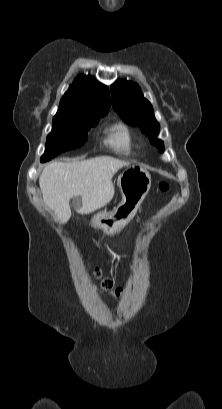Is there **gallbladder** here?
<instances>
[{"label":"gallbladder","mask_w":222,"mask_h":409,"mask_svg":"<svg viewBox=\"0 0 222 409\" xmlns=\"http://www.w3.org/2000/svg\"><path fill=\"white\" fill-rule=\"evenodd\" d=\"M75 201H76V205H77L78 202H79V198H75Z\"/></svg>","instance_id":"1"}]
</instances>
